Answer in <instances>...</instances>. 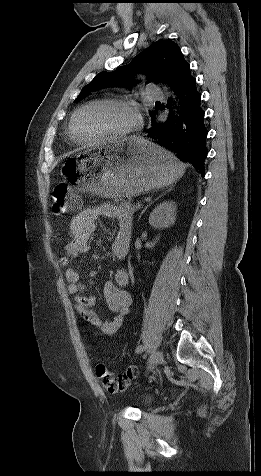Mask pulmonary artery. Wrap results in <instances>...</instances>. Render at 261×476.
<instances>
[{"mask_svg":"<svg viewBox=\"0 0 261 476\" xmlns=\"http://www.w3.org/2000/svg\"><path fill=\"white\" fill-rule=\"evenodd\" d=\"M147 96L150 100L153 101H160L164 99L163 92L155 86H149L147 88Z\"/></svg>","mask_w":261,"mask_h":476,"instance_id":"obj_1","label":"pulmonary artery"}]
</instances>
